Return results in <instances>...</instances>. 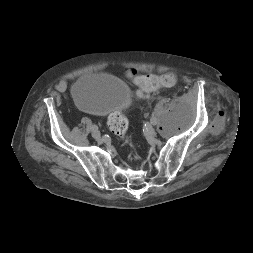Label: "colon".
Returning a JSON list of instances; mask_svg holds the SVG:
<instances>
[{
  "mask_svg": "<svg viewBox=\"0 0 253 253\" xmlns=\"http://www.w3.org/2000/svg\"><path fill=\"white\" fill-rule=\"evenodd\" d=\"M126 76L141 88V90L136 92L137 99L145 98L147 92L160 87H172L176 83V76L173 73H165L159 76L152 74L138 75L134 69H128ZM108 125L112 133L120 138L126 137L128 121L124 112L112 113L109 116Z\"/></svg>",
  "mask_w": 253,
  "mask_h": 253,
  "instance_id": "5ec220e1",
  "label": "colon"
}]
</instances>
